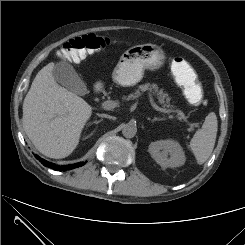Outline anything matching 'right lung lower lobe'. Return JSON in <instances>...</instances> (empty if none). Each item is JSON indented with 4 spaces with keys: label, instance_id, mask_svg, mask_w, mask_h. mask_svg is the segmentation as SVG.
I'll list each match as a JSON object with an SVG mask.
<instances>
[{
    "label": "right lung lower lobe",
    "instance_id": "98d812e1",
    "mask_svg": "<svg viewBox=\"0 0 245 245\" xmlns=\"http://www.w3.org/2000/svg\"><path fill=\"white\" fill-rule=\"evenodd\" d=\"M36 158L38 160H40V162L44 165L47 166L49 168H52L54 170H58V171H65V170H70V169H74L77 167H80L82 165H84L85 163L83 162H79V163H75V164H71V165H66V166H59V165H55L54 163L48 162L42 158H40L39 156L36 155Z\"/></svg>",
    "mask_w": 245,
    "mask_h": 245
}]
</instances>
